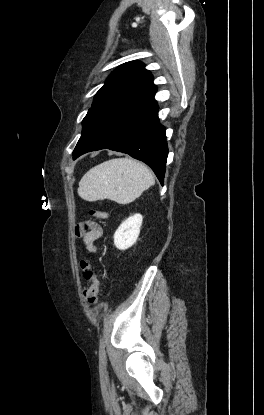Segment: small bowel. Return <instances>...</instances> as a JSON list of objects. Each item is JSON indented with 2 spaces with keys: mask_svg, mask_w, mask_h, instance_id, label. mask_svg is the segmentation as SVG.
<instances>
[{
  "mask_svg": "<svg viewBox=\"0 0 264 415\" xmlns=\"http://www.w3.org/2000/svg\"><path fill=\"white\" fill-rule=\"evenodd\" d=\"M88 227V230H83L80 225L76 232L78 236L82 237L87 250L95 252L97 250L95 242L101 237L102 228L96 223H89Z\"/></svg>",
  "mask_w": 264,
  "mask_h": 415,
  "instance_id": "small-bowel-1",
  "label": "small bowel"
}]
</instances>
